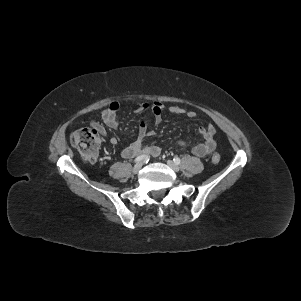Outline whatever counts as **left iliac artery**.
<instances>
[{
  "mask_svg": "<svg viewBox=\"0 0 301 301\" xmlns=\"http://www.w3.org/2000/svg\"><path fill=\"white\" fill-rule=\"evenodd\" d=\"M173 161H174V163L175 164H180V162H181V160H180V158L179 157H175L174 159H173Z\"/></svg>",
  "mask_w": 301,
  "mask_h": 301,
  "instance_id": "left-iliac-artery-1",
  "label": "left iliac artery"
}]
</instances>
